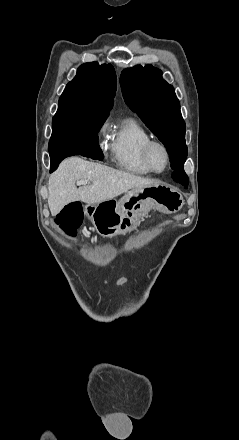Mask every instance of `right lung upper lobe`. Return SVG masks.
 Instances as JSON below:
<instances>
[{
    "mask_svg": "<svg viewBox=\"0 0 239 440\" xmlns=\"http://www.w3.org/2000/svg\"><path fill=\"white\" fill-rule=\"evenodd\" d=\"M115 91L116 73L112 65L85 63L78 68L76 77L67 84L59 99L58 110L108 116Z\"/></svg>",
    "mask_w": 239,
    "mask_h": 440,
    "instance_id": "1",
    "label": "right lung upper lobe"
}]
</instances>
